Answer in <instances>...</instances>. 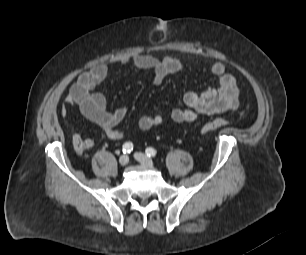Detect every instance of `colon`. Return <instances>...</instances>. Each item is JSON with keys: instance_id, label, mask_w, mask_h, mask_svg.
Segmentation results:
<instances>
[{"instance_id": "obj_1", "label": "colon", "mask_w": 306, "mask_h": 255, "mask_svg": "<svg viewBox=\"0 0 306 255\" xmlns=\"http://www.w3.org/2000/svg\"><path fill=\"white\" fill-rule=\"evenodd\" d=\"M228 124H229L228 120L222 119V118H217V119H214L212 121L204 123L200 128V133L201 134H207L209 132L218 130L222 127H225ZM73 145H74L75 150L78 153H82L85 149V144L79 137H75L73 139Z\"/></svg>"}]
</instances>
